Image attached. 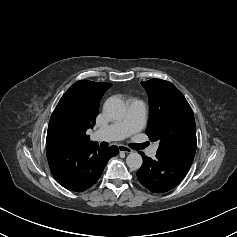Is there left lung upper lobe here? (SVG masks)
I'll return each mask as SVG.
<instances>
[{"label": "left lung upper lobe", "instance_id": "1", "mask_svg": "<svg viewBox=\"0 0 237 237\" xmlns=\"http://www.w3.org/2000/svg\"><path fill=\"white\" fill-rule=\"evenodd\" d=\"M149 97L147 135L160 141L157 154L192 164L196 152L193 111L183 94L170 82L151 79L141 82Z\"/></svg>", "mask_w": 237, "mask_h": 237}]
</instances>
